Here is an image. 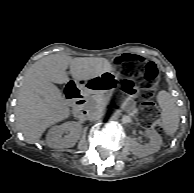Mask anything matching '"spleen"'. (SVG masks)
Wrapping results in <instances>:
<instances>
[{
  "instance_id": "3e777b00",
  "label": "spleen",
  "mask_w": 194,
  "mask_h": 193,
  "mask_svg": "<svg viewBox=\"0 0 194 193\" xmlns=\"http://www.w3.org/2000/svg\"><path fill=\"white\" fill-rule=\"evenodd\" d=\"M162 108L161 120L165 133L172 136L176 133L179 125V112L175 104V99L166 91H160L157 97Z\"/></svg>"
}]
</instances>
